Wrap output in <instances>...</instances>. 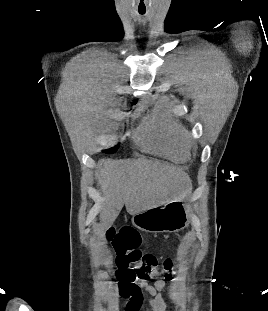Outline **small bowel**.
Instances as JSON below:
<instances>
[{
	"instance_id": "c3829d8e",
	"label": "small bowel",
	"mask_w": 268,
	"mask_h": 311,
	"mask_svg": "<svg viewBox=\"0 0 268 311\" xmlns=\"http://www.w3.org/2000/svg\"><path fill=\"white\" fill-rule=\"evenodd\" d=\"M170 280L171 278H164L157 280L154 284L149 283L147 280L136 281L135 286L137 291L129 296H123L119 286V295L128 299L125 311H141L145 300L153 311H166V302L163 298L162 291Z\"/></svg>"
}]
</instances>
